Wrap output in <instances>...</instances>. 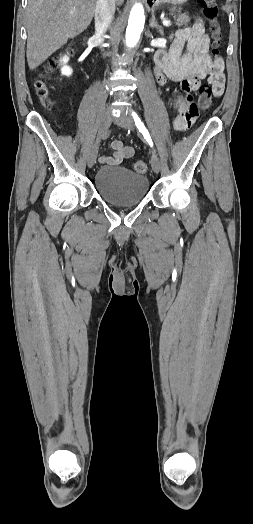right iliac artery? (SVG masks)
Here are the masks:
<instances>
[{"mask_svg":"<svg viewBox=\"0 0 253 524\" xmlns=\"http://www.w3.org/2000/svg\"><path fill=\"white\" fill-rule=\"evenodd\" d=\"M110 133H111V130H107V131L102 135V139L104 140V139L108 138L109 135H110ZM97 140H99V142H100V139H97Z\"/></svg>","mask_w":253,"mask_h":524,"instance_id":"82829eb1","label":"right iliac artery"}]
</instances>
